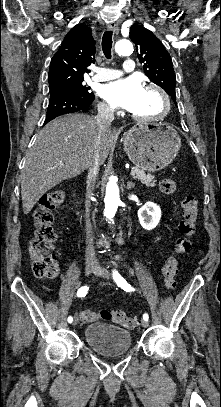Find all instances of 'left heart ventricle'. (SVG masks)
Here are the masks:
<instances>
[{
    "mask_svg": "<svg viewBox=\"0 0 221 407\" xmlns=\"http://www.w3.org/2000/svg\"><path fill=\"white\" fill-rule=\"evenodd\" d=\"M162 111V100L159 94L154 90H143L132 113L138 116H156Z\"/></svg>",
    "mask_w": 221,
    "mask_h": 407,
    "instance_id": "1",
    "label": "left heart ventricle"
}]
</instances>
